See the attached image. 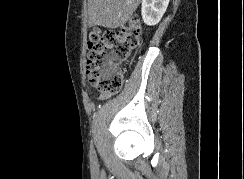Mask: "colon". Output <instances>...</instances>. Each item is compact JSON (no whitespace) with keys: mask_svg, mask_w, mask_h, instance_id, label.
Here are the masks:
<instances>
[{"mask_svg":"<svg viewBox=\"0 0 244 179\" xmlns=\"http://www.w3.org/2000/svg\"><path fill=\"white\" fill-rule=\"evenodd\" d=\"M142 26L129 22L124 26L103 31L94 29L88 36L87 75L100 92L115 94L122 85L120 66L142 45Z\"/></svg>","mask_w":244,"mask_h":179,"instance_id":"colon-1","label":"colon"}]
</instances>
